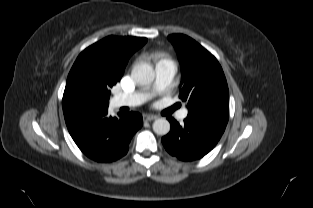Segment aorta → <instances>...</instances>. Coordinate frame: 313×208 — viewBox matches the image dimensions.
<instances>
[{
  "mask_svg": "<svg viewBox=\"0 0 313 208\" xmlns=\"http://www.w3.org/2000/svg\"><path fill=\"white\" fill-rule=\"evenodd\" d=\"M132 77L140 85H149L154 81L155 72L149 64H137L131 72ZM153 131L157 135H166L170 131V123L166 118H159L153 123Z\"/></svg>",
  "mask_w": 313,
  "mask_h": 208,
  "instance_id": "aorta-1",
  "label": "aorta"
}]
</instances>
